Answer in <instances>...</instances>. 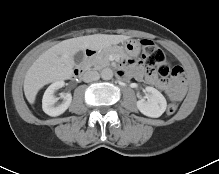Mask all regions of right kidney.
Listing matches in <instances>:
<instances>
[{"instance_id":"obj_1","label":"right kidney","mask_w":219,"mask_h":174,"mask_svg":"<svg viewBox=\"0 0 219 174\" xmlns=\"http://www.w3.org/2000/svg\"><path fill=\"white\" fill-rule=\"evenodd\" d=\"M63 86V81H56L46 89L42 99V108L47 115L53 117L59 116L63 114L70 106L72 101L71 94H66L62 103L57 106L55 105V103L58 101V98L54 96V93Z\"/></svg>"}]
</instances>
